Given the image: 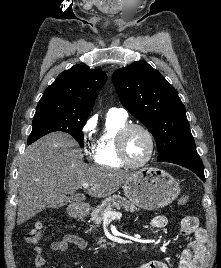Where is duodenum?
<instances>
[{"label": "duodenum", "mask_w": 221, "mask_h": 268, "mask_svg": "<svg viewBox=\"0 0 221 268\" xmlns=\"http://www.w3.org/2000/svg\"><path fill=\"white\" fill-rule=\"evenodd\" d=\"M71 215L75 219H83L87 215V209L84 207H75L71 210Z\"/></svg>", "instance_id": "obj_1"}]
</instances>
